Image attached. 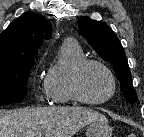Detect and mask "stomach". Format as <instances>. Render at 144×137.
Wrapping results in <instances>:
<instances>
[{
    "label": "stomach",
    "instance_id": "0dacf381",
    "mask_svg": "<svg viewBox=\"0 0 144 137\" xmlns=\"http://www.w3.org/2000/svg\"><path fill=\"white\" fill-rule=\"evenodd\" d=\"M113 130L108 121H95L88 125L86 137H112Z\"/></svg>",
    "mask_w": 144,
    "mask_h": 137
}]
</instances>
